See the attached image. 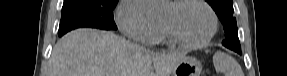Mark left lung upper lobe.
I'll use <instances>...</instances> for the list:
<instances>
[{
    "label": "left lung upper lobe",
    "mask_w": 287,
    "mask_h": 76,
    "mask_svg": "<svg viewBox=\"0 0 287 76\" xmlns=\"http://www.w3.org/2000/svg\"><path fill=\"white\" fill-rule=\"evenodd\" d=\"M221 20L227 38L222 44L231 50H241L232 0H206Z\"/></svg>",
    "instance_id": "1"
}]
</instances>
